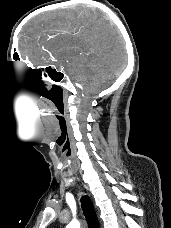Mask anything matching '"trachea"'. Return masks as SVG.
I'll list each match as a JSON object with an SVG mask.
<instances>
[{
  "label": "trachea",
  "instance_id": "3493384b",
  "mask_svg": "<svg viewBox=\"0 0 171 228\" xmlns=\"http://www.w3.org/2000/svg\"><path fill=\"white\" fill-rule=\"evenodd\" d=\"M81 207L86 218L89 228H99V221L93 207V204L88 196H82Z\"/></svg>",
  "mask_w": 171,
  "mask_h": 228
}]
</instances>
